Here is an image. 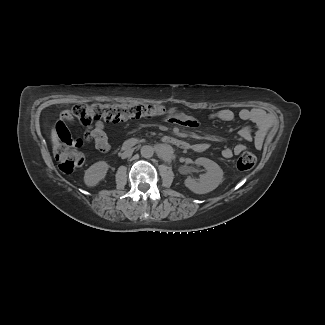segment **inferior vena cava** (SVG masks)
<instances>
[{"mask_svg":"<svg viewBox=\"0 0 325 325\" xmlns=\"http://www.w3.org/2000/svg\"><path fill=\"white\" fill-rule=\"evenodd\" d=\"M132 150H128L122 153V158H127L130 157L132 155Z\"/></svg>","mask_w":325,"mask_h":325,"instance_id":"1","label":"inferior vena cava"}]
</instances>
